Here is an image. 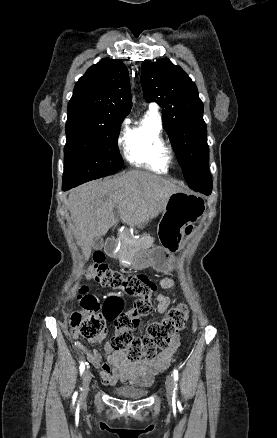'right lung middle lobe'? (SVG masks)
<instances>
[{
    "label": "right lung middle lobe",
    "instance_id": "obj_1",
    "mask_svg": "<svg viewBox=\"0 0 277 438\" xmlns=\"http://www.w3.org/2000/svg\"><path fill=\"white\" fill-rule=\"evenodd\" d=\"M121 123L67 120L64 185L78 186L122 168L123 160L117 146Z\"/></svg>",
    "mask_w": 277,
    "mask_h": 438
}]
</instances>
